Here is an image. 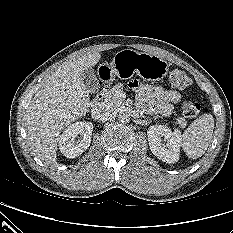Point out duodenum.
<instances>
[{
  "label": "duodenum",
  "instance_id": "duodenum-1",
  "mask_svg": "<svg viewBox=\"0 0 233 233\" xmlns=\"http://www.w3.org/2000/svg\"><path fill=\"white\" fill-rule=\"evenodd\" d=\"M108 89V86H105L104 88H103V90L101 91V92H99L97 95H96V97L94 98V100H93V105L94 106H96V105H98L101 101H102V99H103V97H104V94H105V91Z\"/></svg>",
  "mask_w": 233,
  "mask_h": 233
}]
</instances>
